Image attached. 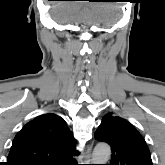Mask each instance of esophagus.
Listing matches in <instances>:
<instances>
[{
	"label": "esophagus",
	"instance_id": "obj_1",
	"mask_svg": "<svg viewBox=\"0 0 165 165\" xmlns=\"http://www.w3.org/2000/svg\"><path fill=\"white\" fill-rule=\"evenodd\" d=\"M92 152V144L87 146L86 152H85V160H90Z\"/></svg>",
	"mask_w": 165,
	"mask_h": 165
}]
</instances>
